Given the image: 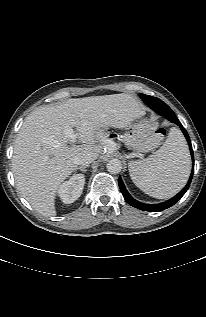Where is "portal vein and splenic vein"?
Segmentation results:
<instances>
[{
	"label": "portal vein and splenic vein",
	"mask_w": 206,
	"mask_h": 317,
	"mask_svg": "<svg viewBox=\"0 0 206 317\" xmlns=\"http://www.w3.org/2000/svg\"><path fill=\"white\" fill-rule=\"evenodd\" d=\"M65 134L67 135L70 143H75L76 134L74 133V131L71 127L67 128L65 130Z\"/></svg>",
	"instance_id": "obj_1"
}]
</instances>
